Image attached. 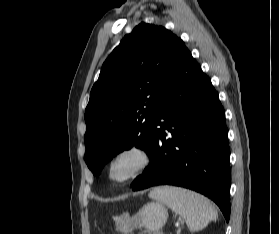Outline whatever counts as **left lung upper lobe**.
<instances>
[{"label": "left lung upper lobe", "instance_id": "5c2ea615", "mask_svg": "<svg viewBox=\"0 0 279 234\" xmlns=\"http://www.w3.org/2000/svg\"><path fill=\"white\" fill-rule=\"evenodd\" d=\"M183 47L164 27L140 23L106 59L85 110V162L94 175L132 145L149 155L160 94Z\"/></svg>", "mask_w": 279, "mask_h": 234}]
</instances>
